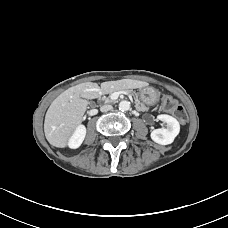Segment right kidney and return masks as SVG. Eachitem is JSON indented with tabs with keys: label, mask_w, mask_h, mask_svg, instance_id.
Segmentation results:
<instances>
[{
	"label": "right kidney",
	"mask_w": 228,
	"mask_h": 228,
	"mask_svg": "<svg viewBox=\"0 0 228 228\" xmlns=\"http://www.w3.org/2000/svg\"><path fill=\"white\" fill-rule=\"evenodd\" d=\"M85 135H86L85 126L79 125L68 142L69 147L72 149L78 148L82 144L85 138Z\"/></svg>",
	"instance_id": "ca27d5eb"
}]
</instances>
